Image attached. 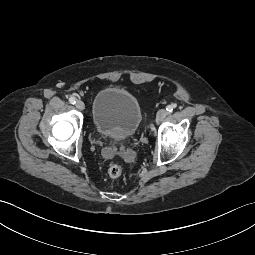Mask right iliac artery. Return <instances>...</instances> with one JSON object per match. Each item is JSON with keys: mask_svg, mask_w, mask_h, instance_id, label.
Returning <instances> with one entry per match:
<instances>
[{"mask_svg": "<svg viewBox=\"0 0 255 255\" xmlns=\"http://www.w3.org/2000/svg\"><path fill=\"white\" fill-rule=\"evenodd\" d=\"M69 102H70L71 104H75V103H76V99H75L73 96H71V97L69 98Z\"/></svg>", "mask_w": 255, "mask_h": 255, "instance_id": "1", "label": "right iliac artery"}]
</instances>
